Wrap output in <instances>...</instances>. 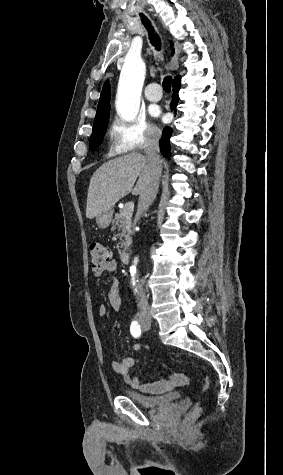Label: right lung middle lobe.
<instances>
[{
    "label": "right lung middle lobe",
    "instance_id": "1",
    "mask_svg": "<svg viewBox=\"0 0 283 475\" xmlns=\"http://www.w3.org/2000/svg\"><path fill=\"white\" fill-rule=\"evenodd\" d=\"M110 105H103L97 108L92 134L90 137V150H95L103 141L109 120Z\"/></svg>",
    "mask_w": 283,
    "mask_h": 475
}]
</instances>
